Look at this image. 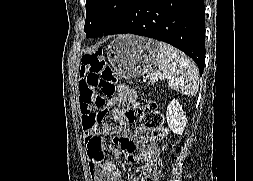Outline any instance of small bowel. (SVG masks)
Listing matches in <instances>:
<instances>
[{"label": "small bowel", "instance_id": "c3829d8e", "mask_svg": "<svg viewBox=\"0 0 253 181\" xmlns=\"http://www.w3.org/2000/svg\"><path fill=\"white\" fill-rule=\"evenodd\" d=\"M79 76L80 113L83 118L88 113V105L85 100L88 88L85 84L86 71L84 68L80 69ZM126 103L136 108L140 107L137 93L134 90L121 86L118 89L116 97L110 101L111 117L113 121L118 123L115 143L120 145L124 153L136 151L134 154L128 156V160L131 163H141V173L146 176L152 173L156 165L161 161L162 151L147 130L139 129L136 137L130 134L129 125L134 122L135 114L133 111L124 110L120 107V105ZM94 130H102V134H111L112 126L110 123L94 125ZM85 135L86 137L89 136L90 131L85 129ZM94 145H99L101 148L96 152L98 158L91 156ZM87 147L89 152V168L91 173L96 177V181H125L122 178V169L112 161L104 159L103 141L100 143L94 142L92 146L87 144ZM132 181H144V178L135 176L132 178Z\"/></svg>", "mask_w": 253, "mask_h": 181}]
</instances>
